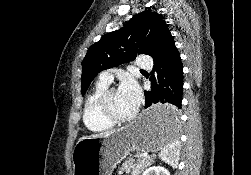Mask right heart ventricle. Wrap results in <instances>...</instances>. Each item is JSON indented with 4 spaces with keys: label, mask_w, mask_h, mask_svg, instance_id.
<instances>
[{
    "label": "right heart ventricle",
    "mask_w": 251,
    "mask_h": 175,
    "mask_svg": "<svg viewBox=\"0 0 251 175\" xmlns=\"http://www.w3.org/2000/svg\"><path fill=\"white\" fill-rule=\"evenodd\" d=\"M108 84L98 80L88 93L83 105V123L93 133L110 130L113 124L105 120L98 110V100Z\"/></svg>",
    "instance_id": "right-heart-ventricle-1"
}]
</instances>
